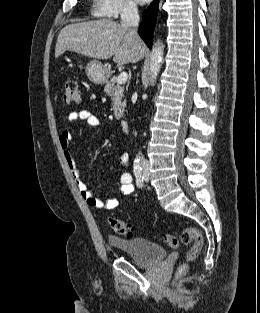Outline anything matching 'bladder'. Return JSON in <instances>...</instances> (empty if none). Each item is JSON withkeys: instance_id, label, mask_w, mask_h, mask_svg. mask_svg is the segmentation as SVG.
<instances>
[{"instance_id": "bladder-1", "label": "bladder", "mask_w": 260, "mask_h": 313, "mask_svg": "<svg viewBox=\"0 0 260 313\" xmlns=\"http://www.w3.org/2000/svg\"><path fill=\"white\" fill-rule=\"evenodd\" d=\"M108 242L110 246L130 255L138 265L144 267L164 260L167 256L164 247L143 238L109 236Z\"/></svg>"}]
</instances>
